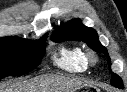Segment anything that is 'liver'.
<instances>
[{
  "mask_svg": "<svg viewBox=\"0 0 127 92\" xmlns=\"http://www.w3.org/2000/svg\"><path fill=\"white\" fill-rule=\"evenodd\" d=\"M86 85L80 79L58 75H44L18 83L5 92H74Z\"/></svg>",
  "mask_w": 127,
  "mask_h": 92,
  "instance_id": "obj_1",
  "label": "liver"
}]
</instances>
